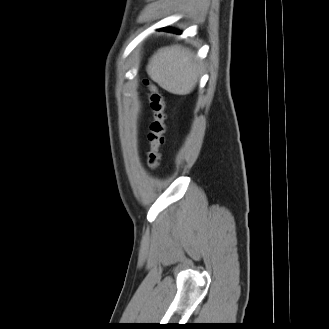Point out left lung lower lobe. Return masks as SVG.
<instances>
[{
	"label": "left lung lower lobe",
	"instance_id": "1",
	"mask_svg": "<svg viewBox=\"0 0 329 329\" xmlns=\"http://www.w3.org/2000/svg\"><path fill=\"white\" fill-rule=\"evenodd\" d=\"M160 30L169 31V32H174V33H177V34H181V31L174 30V29H170V28H162V29H160Z\"/></svg>",
	"mask_w": 329,
	"mask_h": 329
}]
</instances>
